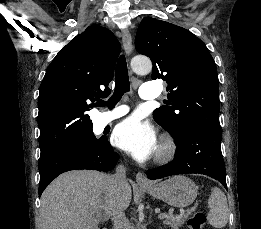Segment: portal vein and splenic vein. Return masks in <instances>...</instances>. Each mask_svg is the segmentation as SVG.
<instances>
[{
  "label": "portal vein and splenic vein",
  "instance_id": "portal-vein-and-splenic-vein-1",
  "mask_svg": "<svg viewBox=\"0 0 261 229\" xmlns=\"http://www.w3.org/2000/svg\"><path fill=\"white\" fill-rule=\"evenodd\" d=\"M165 217H168V215H165V213H161V215H159V219H157V222H160V219H165ZM173 219H180V217H173Z\"/></svg>",
  "mask_w": 261,
  "mask_h": 229
}]
</instances>
